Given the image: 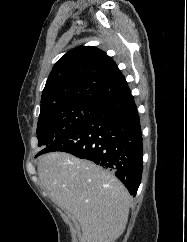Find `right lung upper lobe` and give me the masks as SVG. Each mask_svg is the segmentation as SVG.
Masks as SVG:
<instances>
[{"instance_id":"cb5924a9","label":"right lung upper lobe","mask_w":187,"mask_h":242,"mask_svg":"<svg viewBox=\"0 0 187 242\" xmlns=\"http://www.w3.org/2000/svg\"><path fill=\"white\" fill-rule=\"evenodd\" d=\"M130 93L111 57L94 46H80L54 65L42 92L40 113L78 102L103 107Z\"/></svg>"}]
</instances>
